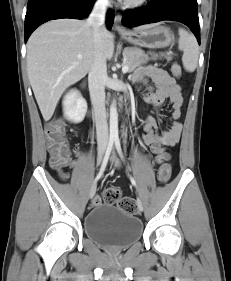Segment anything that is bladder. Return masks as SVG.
<instances>
[{
	"mask_svg": "<svg viewBox=\"0 0 231 281\" xmlns=\"http://www.w3.org/2000/svg\"><path fill=\"white\" fill-rule=\"evenodd\" d=\"M84 232L100 246L121 251L141 238L143 225L139 218L113 205L100 204L85 216Z\"/></svg>",
	"mask_w": 231,
	"mask_h": 281,
	"instance_id": "1",
	"label": "bladder"
}]
</instances>
